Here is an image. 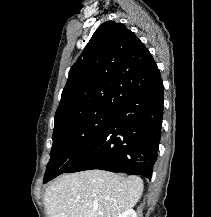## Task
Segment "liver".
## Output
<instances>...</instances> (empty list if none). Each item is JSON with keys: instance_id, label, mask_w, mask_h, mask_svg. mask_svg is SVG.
I'll return each instance as SVG.
<instances>
[{"instance_id": "1", "label": "liver", "mask_w": 211, "mask_h": 217, "mask_svg": "<svg viewBox=\"0 0 211 217\" xmlns=\"http://www.w3.org/2000/svg\"><path fill=\"white\" fill-rule=\"evenodd\" d=\"M143 181L103 170L65 174L44 194L48 217H118L141 198Z\"/></svg>"}]
</instances>
